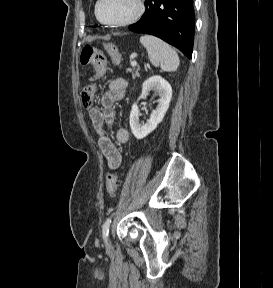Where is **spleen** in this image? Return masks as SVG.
<instances>
[{
    "instance_id": "obj_1",
    "label": "spleen",
    "mask_w": 273,
    "mask_h": 288,
    "mask_svg": "<svg viewBox=\"0 0 273 288\" xmlns=\"http://www.w3.org/2000/svg\"><path fill=\"white\" fill-rule=\"evenodd\" d=\"M141 44L146 48L150 62L163 71H176L180 61L176 51L161 39L144 35L140 37Z\"/></svg>"
}]
</instances>
